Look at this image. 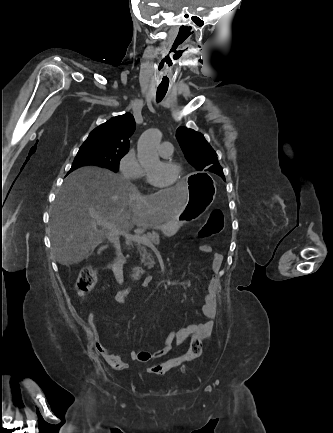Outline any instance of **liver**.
Segmentation results:
<instances>
[{"instance_id": "obj_1", "label": "liver", "mask_w": 333, "mask_h": 433, "mask_svg": "<svg viewBox=\"0 0 333 433\" xmlns=\"http://www.w3.org/2000/svg\"><path fill=\"white\" fill-rule=\"evenodd\" d=\"M170 188L173 192L145 196L129 179L108 169L89 166L73 171L51 210V243L56 260L69 266L87 258L100 235L110 230L105 223L124 232L133 225L162 229L165 222L180 214L182 201L190 198L186 183H173Z\"/></svg>"}]
</instances>
